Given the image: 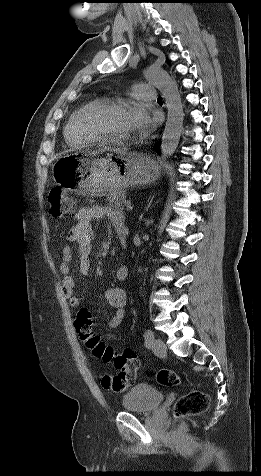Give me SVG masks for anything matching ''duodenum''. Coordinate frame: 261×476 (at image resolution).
<instances>
[{
	"mask_svg": "<svg viewBox=\"0 0 261 476\" xmlns=\"http://www.w3.org/2000/svg\"><path fill=\"white\" fill-rule=\"evenodd\" d=\"M118 237L123 245H126L127 239H126V232L124 230H119L118 231Z\"/></svg>",
	"mask_w": 261,
	"mask_h": 476,
	"instance_id": "410a0bca",
	"label": "duodenum"
}]
</instances>
